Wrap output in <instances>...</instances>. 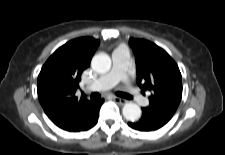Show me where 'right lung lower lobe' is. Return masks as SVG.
Returning a JSON list of instances; mask_svg holds the SVG:
<instances>
[{
    "mask_svg": "<svg viewBox=\"0 0 225 155\" xmlns=\"http://www.w3.org/2000/svg\"><path fill=\"white\" fill-rule=\"evenodd\" d=\"M103 102V99L92 102L86 109L83 110L81 115L77 117L72 124L61 129L70 132H80L89 130L97 123L99 109Z\"/></svg>",
    "mask_w": 225,
    "mask_h": 155,
    "instance_id": "right-lung-lower-lobe-1",
    "label": "right lung lower lobe"
}]
</instances>
